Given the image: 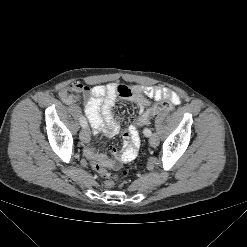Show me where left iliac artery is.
I'll list each match as a JSON object with an SVG mask.
<instances>
[{
    "mask_svg": "<svg viewBox=\"0 0 247 247\" xmlns=\"http://www.w3.org/2000/svg\"><path fill=\"white\" fill-rule=\"evenodd\" d=\"M143 133H144V135L147 136V137L152 135V132H151L150 129H148V128H145Z\"/></svg>",
    "mask_w": 247,
    "mask_h": 247,
    "instance_id": "1",
    "label": "left iliac artery"
}]
</instances>
